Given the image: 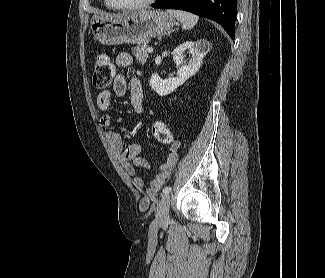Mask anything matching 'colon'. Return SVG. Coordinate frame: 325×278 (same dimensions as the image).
<instances>
[{
  "label": "colon",
  "instance_id": "1",
  "mask_svg": "<svg viewBox=\"0 0 325 278\" xmlns=\"http://www.w3.org/2000/svg\"><path fill=\"white\" fill-rule=\"evenodd\" d=\"M114 66L106 54H100L96 58L92 83L98 89H105L112 83ZM154 137L161 143L169 144L172 134L167 125L162 121H155L151 126Z\"/></svg>",
  "mask_w": 325,
  "mask_h": 278
}]
</instances>
